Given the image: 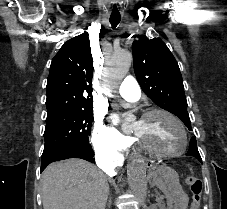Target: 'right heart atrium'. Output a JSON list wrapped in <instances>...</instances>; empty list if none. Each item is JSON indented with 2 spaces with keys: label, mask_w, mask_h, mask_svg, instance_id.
I'll list each match as a JSON object with an SVG mask.
<instances>
[{
  "label": "right heart atrium",
  "mask_w": 227,
  "mask_h": 209,
  "mask_svg": "<svg viewBox=\"0 0 227 209\" xmlns=\"http://www.w3.org/2000/svg\"><path fill=\"white\" fill-rule=\"evenodd\" d=\"M94 150L104 156H120L129 145V139L113 126L97 119L92 133Z\"/></svg>",
  "instance_id": "d8ad5b80"
}]
</instances>
